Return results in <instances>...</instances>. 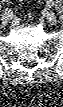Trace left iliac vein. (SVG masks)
<instances>
[{"instance_id":"1","label":"left iliac vein","mask_w":63,"mask_h":107,"mask_svg":"<svg viewBox=\"0 0 63 107\" xmlns=\"http://www.w3.org/2000/svg\"><path fill=\"white\" fill-rule=\"evenodd\" d=\"M45 18L50 25H55L57 22V17L52 11L47 12Z\"/></svg>"}]
</instances>
